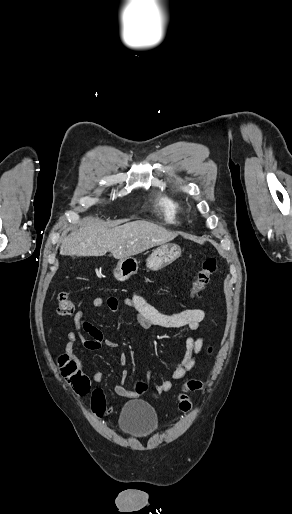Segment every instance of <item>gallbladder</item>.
Returning <instances> with one entry per match:
<instances>
[{
    "instance_id": "gallbladder-1",
    "label": "gallbladder",
    "mask_w": 292,
    "mask_h": 514,
    "mask_svg": "<svg viewBox=\"0 0 292 514\" xmlns=\"http://www.w3.org/2000/svg\"><path fill=\"white\" fill-rule=\"evenodd\" d=\"M71 256H72V258H73L74 254H71Z\"/></svg>"
}]
</instances>
